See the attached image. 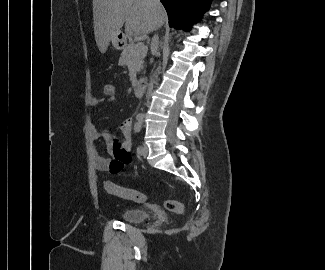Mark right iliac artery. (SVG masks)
I'll use <instances>...</instances> for the list:
<instances>
[{
	"label": "right iliac artery",
	"mask_w": 325,
	"mask_h": 270,
	"mask_svg": "<svg viewBox=\"0 0 325 270\" xmlns=\"http://www.w3.org/2000/svg\"><path fill=\"white\" fill-rule=\"evenodd\" d=\"M137 119H138V120H141V118H140V117H137Z\"/></svg>",
	"instance_id": "obj_1"
}]
</instances>
